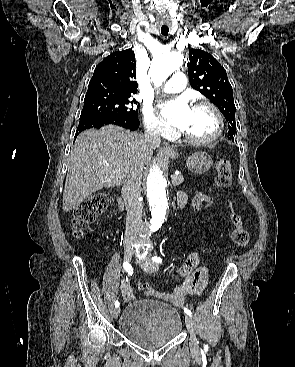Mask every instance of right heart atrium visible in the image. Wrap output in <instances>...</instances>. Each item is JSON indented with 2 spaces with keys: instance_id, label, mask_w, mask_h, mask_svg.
Listing matches in <instances>:
<instances>
[{
  "instance_id": "right-heart-atrium-1",
  "label": "right heart atrium",
  "mask_w": 295,
  "mask_h": 367,
  "mask_svg": "<svg viewBox=\"0 0 295 367\" xmlns=\"http://www.w3.org/2000/svg\"><path fill=\"white\" fill-rule=\"evenodd\" d=\"M142 120L145 129L155 136H168L171 133L169 127L149 107L143 109Z\"/></svg>"
}]
</instances>
